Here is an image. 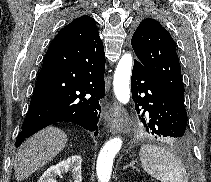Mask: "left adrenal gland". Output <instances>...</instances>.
<instances>
[{
  "instance_id": "obj_1",
  "label": "left adrenal gland",
  "mask_w": 211,
  "mask_h": 182,
  "mask_svg": "<svg viewBox=\"0 0 211 182\" xmlns=\"http://www.w3.org/2000/svg\"><path fill=\"white\" fill-rule=\"evenodd\" d=\"M128 167H132L133 169H137L135 166H134V162H131L130 164H127L126 166H124L123 169H126Z\"/></svg>"
}]
</instances>
